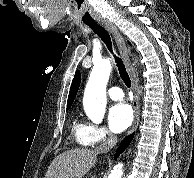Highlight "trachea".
Masks as SVG:
<instances>
[{"mask_svg":"<svg viewBox=\"0 0 194 178\" xmlns=\"http://www.w3.org/2000/svg\"><path fill=\"white\" fill-rule=\"evenodd\" d=\"M87 25L101 38V40L107 46L108 50L113 54L119 75L123 80V82L125 83V85L128 88H130L131 87L130 77L126 71V68L122 59L113 53L112 41L108 32L101 25L97 23H88Z\"/></svg>","mask_w":194,"mask_h":178,"instance_id":"1","label":"trachea"}]
</instances>
